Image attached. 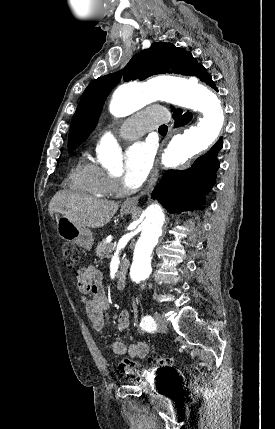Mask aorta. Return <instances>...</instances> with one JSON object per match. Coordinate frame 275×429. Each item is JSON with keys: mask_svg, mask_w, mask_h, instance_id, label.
I'll return each mask as SVG.
<instances>
[{"mask_svg": "<svg viewBox=\"0 0 275 429\" xmlns=\"http://www.w3.org/2000/svg\"><path fill=\"white\" fill-rule=\"evenodd\" d=\"M156 100L199 111L202 117L197 126H190L173 136L162 154L166 168L176 167L199 154L218 137L225 120V109L218 94L195 78L160 77L147 83H128L116 89L109 105L114 117H125ZM102 164L111 172L121 169L119 146L110 132H106L97 149ZM142 223V231L135 245L130 275L140 282L151 274V254L159 241L165 215L159 204L150 205Z\"/></svg>", "mask_w": 275, "mask_h": 429, "instance_id": "762f6f07", "label": "aorta"}]
</instances>
